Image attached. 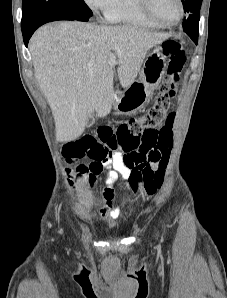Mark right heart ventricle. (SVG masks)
<instances>
[{"label": "right heart ventricle", "mask_w": 227, "mask_h": 298, "mask_svg": "<svg viewBox=\"0 0 227 298\" xmlns=\"http://www.w3.org/2000/svg\"><path fill=\"white\" fill-rule=\"evenodd\" d=\"M110 23L138 28H159L160 26L144 16L139 0H114L104 13Z\"/></svg>", "instance_id": "right-heart-ventricle-1"}]
</instances>
